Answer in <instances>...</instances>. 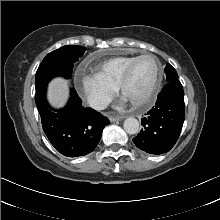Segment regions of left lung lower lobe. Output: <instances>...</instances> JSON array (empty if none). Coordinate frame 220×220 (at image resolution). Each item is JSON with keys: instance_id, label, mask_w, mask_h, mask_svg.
Instances as JSON below:
<instances>
[{"instance_id": "1", "label": "left lung lower lobe", "mask_w": 220, "mask_h": 220, "mask_svg": "<svg viewBox=\"0 0 220 220\" xmlns=\"http://www.w3.org/2000/svg\"><path fill=\"white\" fill-rule=\"evenodd\" d=\"M184 118V91L177 79L168 82L158 94L155 106L141 119L143 128L133 142L147 153H166L176 143Z\"/></svg>"}]
</instances>
